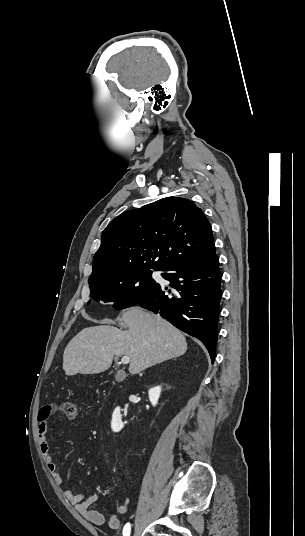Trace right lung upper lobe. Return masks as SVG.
Here are the masks:
<instances>
[{"label": "right lung upper lobe", "mask_w": 305, "mask_h": 536, "mask_svg": "<svg viewBox=\"0 0 305 536\" xmlns=\"http://www.w3.org/2000/svg\"><path fill=\"white\" fill-rule=\"evenodd\" d=\"M212 246L211 225L202 210L188 199L166 197L111 221L102 232L89 282L141 269L164 270Z\"/></svg>", "instance_id": "1"}]
</instances>
